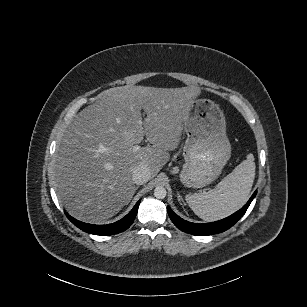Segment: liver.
<instances>
[{
    "mask_svg": "<svg viewBox=\"0 0 307 307\" xmlns=\"http://www.w3.org/2000/svg\"><path fill=\"white\" fill-rule=\"evenodd\" d=\"M200 93L195 86L141 85L102 92L68 125L57 147L52 174L60 203L88 223L117 214L134 192L133 169L146 164L153 178L169 161L168 151L178 147L184 120ZM144 136L151 145L133 152Z\"/></svg>",
    "mask_w": 307,
    "mask_h": 307,
    "instance_id": "6515ba94",
    "label": "liver"
}]
</instances>
